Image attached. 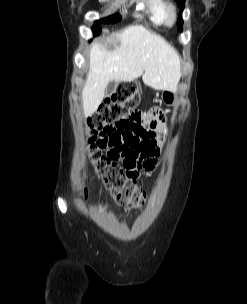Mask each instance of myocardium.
<instances>
[{
  "label": "myocardium",
  "mask_w": 247,
  "mask_h": 304,
  "mask_svg": "<svg viewBox=\"0 0 247 304\" xmlns=\"http://www.w3.org/2000/svg\"><path fill=\"white\" fill-rule=\"evenodd\" d=\"M177 21V11L176 7L172 4L169 3L166 6L165 9V23L168 26H173Z\"/></svg>",
  "instance_id": "f54148a6"
}]
</instances>
